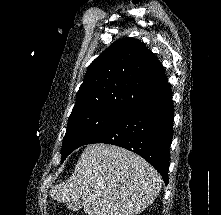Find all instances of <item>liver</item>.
<instances>
[{"label": "liver", "mask_w": 221, "mask_h": 215, "mask_svg": "<svg viewBox=\"0 0 221 215\" xmlns=\"http://www.w3.org/2000/svg\"><path fill=\"white\" fill-rule=\"evenodd\" d=\"M161 186V176L141 156L101 143L87 145L72 176L49 194L63 203L81 198L88 215H137L152 204Z\"/></svg>", "instance_id": "6515ba94"}]
</instances>
